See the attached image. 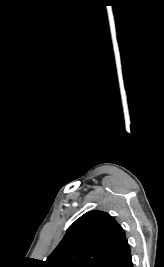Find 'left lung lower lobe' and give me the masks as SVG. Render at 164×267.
Returning a JSON list of instances; mask_svg holds the SVG:
<instances>
[{
  "instance_id": "left-lung-lower-lobe-1",
  "label": "left lung lower lobe",
  "mask_w": 164,
  "mask_h": 267,
  "mask_svg": "<svg viewBox=\"0 0 164 267\" xmlns=\"http://www.w3.org/2000/svg\"><path fill=\"white\" fill-rule=\"evenodd\" d=\"M103 267H133L130 246L124 238L120 246L108 258Z\"/></svg>"
}]
</instances>
